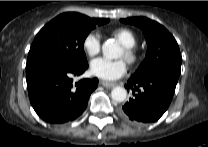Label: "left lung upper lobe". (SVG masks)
<instances>
[{
  "mask_svg": "<svg viewBox=\"0 0 208 147\" xmlns=\"http://www.w3.org/2000/svg\"><path fill=\"white\" fill-rule=\"evenodd\" d=\"M121 21L139 27L147 42L146 57L132 77H142L156 71H167L179 77L182 62L179 46L165 27L146 17Z\"/></svg>",
  "mask_w": 208,
  "mask_h": 147,
  "instance_id": "1",
  "label": "left lung upper lobe"
}]
</instances>
